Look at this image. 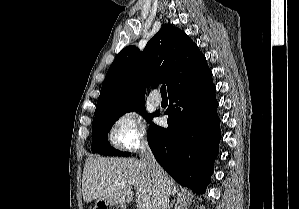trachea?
Returning <instances> with one entry per match:
<instances>
[{
  "label": "trachea",
  "instance_id": "obj_1",
  "mask_svg": "<svg viewBox=\"0 0 299 209\" xmlns=\"http://www.w3.org/2000/svg\"><path fill=\"white\" fill-rule=\"evenodd\" d=\"M161 96H167L166 86L162 85L160 89Z\"/></svg>",
  "mask_w": 299,
  "mask_h": 209
}]
</instances>
